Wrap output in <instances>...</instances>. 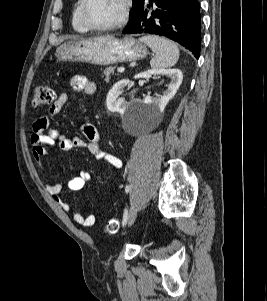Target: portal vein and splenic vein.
<instances>
[{"instance_id": "portal-vein-and-splenic-vein-1", "label": "portal vein and splenic vein", "mask_w": 267, "mask_h": 301, "mask_svg": "<svg viewBox=\"0 0 267 301\" xmlns=\"http://www.w3.org/2000/svg\"><path fill=\"white\" fill-rule=\"evenodd\" d=\"M117 71H118L119 73H123V72L125 71V68H124V67H119V68L117 69Z\"/></svg>"}]
</instances>
